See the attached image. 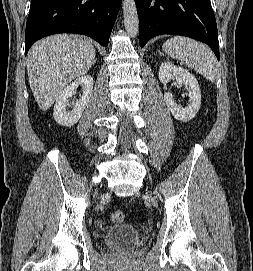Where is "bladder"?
I'll list each match as a JSON object with an SVG mask.
<instances>
[{
    "mask_svg": "<svg viewBox=\"0 0 253 271\" xmlns=\"http://www.w3.org/2000/svg\"><path fill=\"white\" fill-rule=\"evenodd\" d=\"M102 241L108 248H133L140 244V234L133 225L117 223L105 231Z\"/></svg>",
    "mask_w": 253,
    "mask_h": 271,
    "instance_id": "obj_1",
    "label": "bladder"
}]
</instances>
